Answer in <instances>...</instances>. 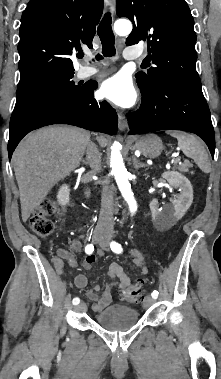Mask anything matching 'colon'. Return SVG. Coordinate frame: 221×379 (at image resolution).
Here are the masks:
<instances>
[{
	"mask_svg": "<svg viewBox=\"0 0 221 379\" xmlns=\"http://www.w3.org/2000/svg\"><path fill=\"white\" fill-rule=\"evenodd\" d=\"M62 207L55 201H43L32 213L29 225L34 233L40 237L49 236L54 228L52 216L61 214ZM123 297L129 301L138 303L144 298L143 289L139 284L127 287L123 293Z\"/></svg>",
	"mask_w": 221,
	"mask_h": 379,
	"instance_id": "colon-1",
	"label": "colon"
}]
</instances>
